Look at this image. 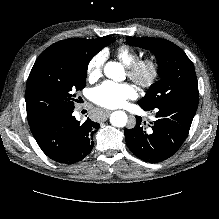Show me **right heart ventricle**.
<instances>
[{
  "label": "right heart ventricle",
  "instance_id": "e07e8e85",
  "mask_svg": "<svg viewBox=\"0 0 219 219\" xmlns=\"http://www.w3.org/2000/svg\"><path fill=\"white\" fill-rule=\"evenodd\" d=\"M116 57L128 67L139 59V53L128 45H121L116 49Z\"/></svg>",
  "mask_w": 219,
  "mask_h": 219
}]
</instances>
